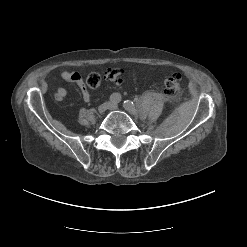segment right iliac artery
<instances>
[{
	"mask_svg": "<svg viewBox=\"0 0 247 247\" xmlns=\"http://www.w3.org/2000/svg\"><path fill=\"white\" fill-rule=\"evenodd\" d=\"M121 101V95L118 93H113L110 96V102L112 103H119Z\"/></svg>",
	"mask_w": 247,
	"mask_h": 247,
	"instance_id": "right-iliac-artery-1",
	"label": "right iliac artery"
}]
</instances>
